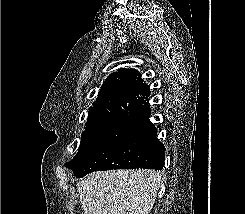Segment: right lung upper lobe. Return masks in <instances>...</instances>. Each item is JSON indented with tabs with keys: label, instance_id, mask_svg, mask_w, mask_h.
Returning <instances> with one entry per match:
<instances>
[{
	"label": "right lung upper lobe",
	"instance_id": "cb5924a9",
	"mask_svg": "<svg viewBox=\"0 0 245 214\" xmlns=\"http://www.w3.org/2000/svg\"><path fill=\"white\" fill-rule=\"evenodd\" d=\"M149 87L135 69H120L104 82L99 96L88 112L83 134L103 135L119 128H131L141 118L143 96Z\"/></svg>",
	"mask_w": 245,
	"mask_h": 214
}]
</instances>
